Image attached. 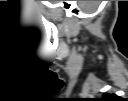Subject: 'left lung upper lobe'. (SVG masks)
<instances>
[{
	"label": "left lung upper lobe",
	"instance_id": "obj_1",
	"mask_svg": "<svg viewBox=\"0 0 128 101\" xmlns=\"http://www.w3.org/2000/svg\"><path fill=\"white\" fill-rule=\"evenodd\" d=\"M116 95L113 94H104V99H107V101H115L114 99H116Z\"/></svg>",
	"mask_w": 128,
	"mask_h": 101
}]
</instances>
